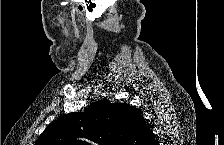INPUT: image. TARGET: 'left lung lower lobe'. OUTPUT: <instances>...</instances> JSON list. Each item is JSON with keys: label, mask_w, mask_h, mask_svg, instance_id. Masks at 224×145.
Masks as SVG:
<instances>
[{"label": "left lung lower lobe", "mask_w": 224, "mask_h": 145, "mask_svg": "<svg viewBox=\"0 0 224 145\" xmlns=\"http://www.w3.org/2000/svg\"><path fill=\"white\" fill-rule=\"evenodd\" d=\"M128 145H156L154 135L142 116H136Z\"/></svg>", "instance_id": "obj_1"}]
</instances>
